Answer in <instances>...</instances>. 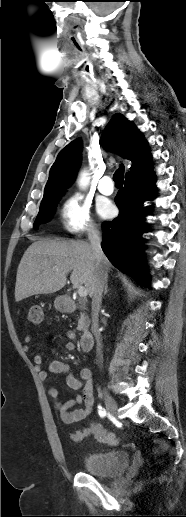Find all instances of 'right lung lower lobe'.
Instances as JSON below:
<instances>
[{"label":"right lung lower lobe","instance_id":"right-lung-lower-lobe-1","mask_svg":"<svg viewBox=\"0 0 186 517\" xmlns=\"http://www.w3.org/2000/svg\"><path fill=\"white\" fill-rule=\"evenodd\" d=\"M154 194V173L151 163L126 176L124 189L115 197L120 210L119 216L103 223L101 243L112 264L145 287L149 286L142 268L140 219L149 212L142 204L144 201L152 200Z\"/></svg>","mask_w":186,"mask_h":517}]
</instances>
